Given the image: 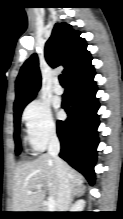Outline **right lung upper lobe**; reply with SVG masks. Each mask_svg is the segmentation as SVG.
Masks as SVG:
<instances>
[{
  "instance_id": "obj_1",
  "label": "right lung upper lobe",
  "mask_w": 123,
  "mask_h": 219,
  "mask_svg": "<svg viewBox=\"0 0 123 219\" xmlns=\"http://www.w3.org/2000/svg\"><path fill=\"white\" fill-rule=\"evenodd\" d=\"M86 48V41L80 37L79 31L73 30L65 22L56 23L45 45V59L52 68L59 65L65 67L63 73L68 78L92 59ZM40 85L38 57L33 54L25 61L17 76L14 111L35 98Z\"/></svg>"
}]
</instances>
